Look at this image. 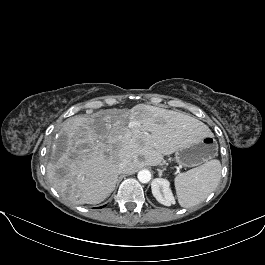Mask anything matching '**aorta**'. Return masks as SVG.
I'll use <instances>...</instances> for the list:
<instances>
[{"mask_svg":"<svg viewBox=\"0 0 265 265\" xmlns=\"http://www.w3.org/2000/svg\"><path fill=\"white\" fill-rule=\"evenodd\" d=\"M137 177L141 183H148L151 180V173L149 170L143 169L138 172Z\"/></svg>","mask_w":265,"mask_h":265,"instance_id":"obj_1","label":"aorta"}]
</instances>
